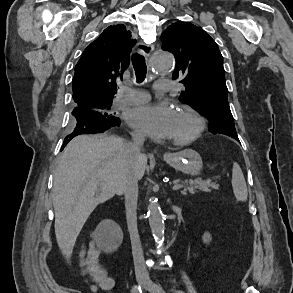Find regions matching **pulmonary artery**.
<instances>
[{
    "label": "pulmonary artery",
    "mask_w": 293,
    "mask_h": 293,
    "mask_svg": "<svg viewBox=\"0 0 293 293\" xmlns=\"http://www.w3.org/2000/svg\"><path fill=\"white\" fill-rule=\"evenodd\" d=\"M155 89L158 93H166L172 90V82L169 80H158L155 83ZM121 101L124 104H140L149 100L150 96L144 91L135 90L129 87H121Z\"/></svg>",
    "instance_id": "obj_1"
}]
</instances>
